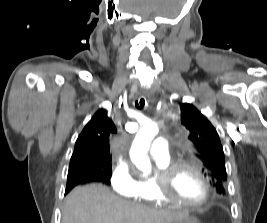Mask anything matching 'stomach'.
Instances as JSON below:
<instances>
[{"label": "stomach", "mask_w": 267, "mask_h": 223, "mask_svg": "<svg viewBox=\"0 0 267 223\" xmlns=\"http://www.w3.org/2000/svg\"><path fill=\"white\" fill-rule=\"evenodd\" d=\"M171 223H199L195 218L189 217V215L183 219L175 220Z\"/></svg>", "instance_id": "0dacf381"}]
</instances>
